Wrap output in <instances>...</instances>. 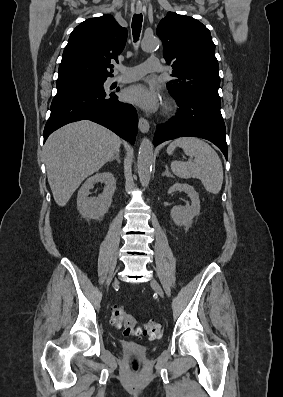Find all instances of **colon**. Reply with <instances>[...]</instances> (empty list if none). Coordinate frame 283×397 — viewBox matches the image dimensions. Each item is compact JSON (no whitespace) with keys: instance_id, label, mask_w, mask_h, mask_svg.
Returning a JSON list of instances; mask_svg holds the SVG:
<instances>
[{"instance_id":"1","label":"colon","mask_w":283,"mask_h":397,"mask_svg":"<svg viewBox=\"0 0 283 397\" xmlns=\"http://www.w3.org/2000/svg\"><path fill=\"white\" fill-rule=\"evenodd\" d=\"M111 320L117 328H123L124 334L127 336H146L150 339H156L160 336L162 330L161 324L156 320H149L143 326H139L136 318L122 306L112 308ZM132 367L134 370L139 368L137 359L133 360Z\"/></svg>"}]
</instances>
